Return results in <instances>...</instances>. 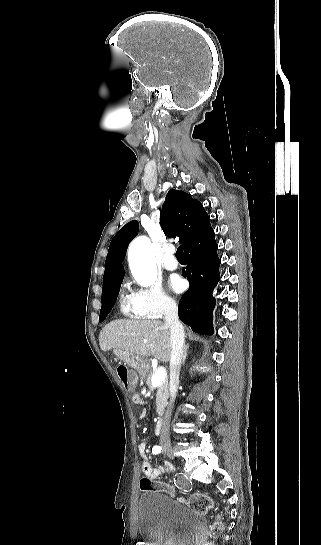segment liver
<instances>
[{"instance_id": "6515ba94", "label": "liver", "mask_w": 321, "mask_h": 545, "mask_svg": "<svg viewBox=\"0 0 321 545\" xmlns=\"http://www.w3.org/2000/svg\"><path fill=\"white\" fill-rule=\"evenodd\" d=\"M101 351L119 349L139 357H155L162 363L171 359V333L162 321L118 319L103 327L99 335Z\"/></svg>"}]
</instances>
